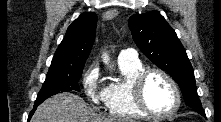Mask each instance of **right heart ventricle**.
Returning <instances> with one entry per match:
<instances>
[{"label": "right heart ventricle", "instance_id": "1", "mask_svg": "<svg viewBox=\"0 0 221 122\" xmlns=\"http://www.w3.org/2000/svg\"><path fill=\"white\" fill-rule=\"evenodd\" d=\"M122 79L114 80L105 88V106L108 112L117 117L143 118V113L132 96V82L145 69L140 61L118 60Z\"/></svg>", "mask_w": 221, "mask_h": 122}]
</instances>
